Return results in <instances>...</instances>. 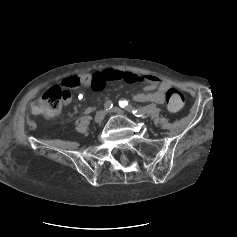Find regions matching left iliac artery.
I'll return each mask as SVG.
<instances>
[{"instance_id":"44dca946","label":"left iliac artery","mask_w":237,"mask_h":237,"mask_svg":"<svg viewBox=\"0 0 237 237\" xmlns=\"http://www.w3.org/2000/svg\"><path fill=\"white\" fill-rule=\"evenodd\" d=\"M119 105L122 108H125L127 111L133 113L137 117H143L146 113L151 112L153 109L156 108V104H150L148 106H145L143 108H135L132 105L128 104L126 100H120Z\"/></svg>"}]
</instances>
